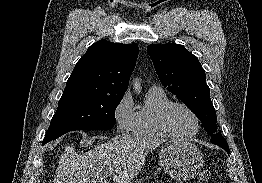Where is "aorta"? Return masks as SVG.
<instances>
[{
    "mask_svg": "<svg viewBox=\"0 0 262 183\" xmlns=\"http://www.w3.org/2000/svg\"><path fill=\"white\" fill-rule=\"evenodd\" d=\"M133 86H134V89H135L136 92H140L141 87H140V84L137 81V79L133 80Z\"/></svg>",
    "mask_w": 262,
    "mask_h": 183,
    "instance_id": "1",
    "label": "aorta"
}]
</instances>
